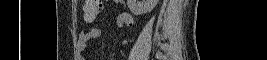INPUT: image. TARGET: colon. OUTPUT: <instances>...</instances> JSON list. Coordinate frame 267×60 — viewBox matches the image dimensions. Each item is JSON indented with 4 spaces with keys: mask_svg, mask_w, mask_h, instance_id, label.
Wrapping results in <instances>:
<instances>
[{
    "mask_svg": "<svg viewBox=\"0 0 267 60\" xmlns=\"http://www.w3.org/2000/svg\"><path fill=\"white\" fill-rule=\"evenodd\" d=\"M103 11V1L85 0L83 3V17L85 21H93Z\"/></svg>",
    "mask_w": 267,
    "mask_h": 60,
    "instance_id": "obj_1",
    "label": "colon"
}]
</instances>
